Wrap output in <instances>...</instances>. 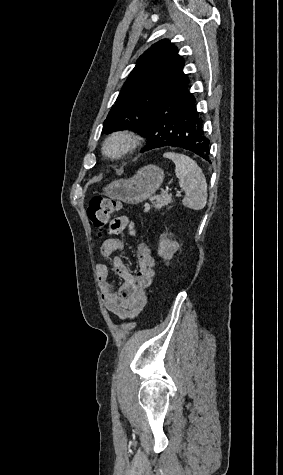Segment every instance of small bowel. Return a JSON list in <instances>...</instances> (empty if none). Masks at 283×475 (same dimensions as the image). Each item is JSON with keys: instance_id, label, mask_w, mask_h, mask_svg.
<instances>
[{"instance_id": "1", "label": "small bowel", "mask_w": 283, "mask_h": 475, "mask_svg": "<svg viewBox=\"0 0 283 475\" xmlns=\"http://www.w3.org/2000/svg\"><path fill=\"white\" fill-rule=\"evenodd\" d=\"M103 230L108 239L105 240L100 248V254L103 258H111L112 267L115 273L123 280V284L115 289L112 282L108 279V267L105 263H97L95 266V275L99 285L104 307L109 312L115 314L121 321L132 320L136 318L147 304L146 289L152 284L155 276H152L151 283H144L142 289L132 288L131 274L124 262L114 254L124 249L123 242L115 238L119 232L126 230L129 236L136 234L133 223L127 216H119L112 223H105Z\"/></svg>"}]
</instances>
